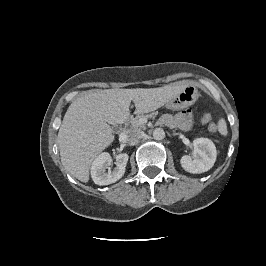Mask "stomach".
I'll return each mask as SVG.
<instances>
[{
    "label": "stomach",
    "mask_w": 266,
    "mask_h": 266,
    "mask_svg": "<svg viewBox=\"0 0 266 266\" xmlns=\"http://www.w3.org/2000/svg\"><path fill=\"white\" fill-rule=\"evenodd\" d=\"M198 98V90L192 83L185 84L182 89L167 103L171 109H182L195 103Z\"/></svg>",
    "instance_id": "0dacf381"
}]
</instances>
